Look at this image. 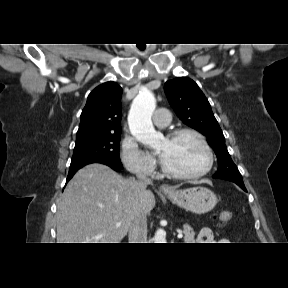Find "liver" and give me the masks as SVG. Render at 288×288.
<instances>
[{"label": "liver", "mask_w": 288, "mask_h": 288, "mask_svg": "<svg viewBox=\"0 0 288 288\" xmlns=\"http://www.w3.org/2000/svg\"><path fill=\"white\" fill-rule=\"evenodd\" d=\"M155 203L154 194L139 181L125 179L103 164L87 165L70 180L58 202L57 243H120Z\"/></svg>", "instance_id": "6515ba94"}]
</instances>
